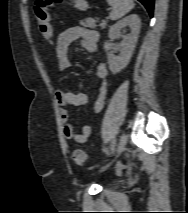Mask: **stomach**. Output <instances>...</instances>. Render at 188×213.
<instances>
[{"label":"stomach","instance_id":"obj_1","mask_svg":"<svg viewBox=\"0 0 188 213\" xmlns=\"http://www.w3.org/2000/svg\"><path fill=\"white\" fill-rule=\"evenodd\" d=\"M74 7L79 10H86L88 8V4L86 0H73Z\"/></svg>","mask_w":188,"mask_h":213}]
</instances>
